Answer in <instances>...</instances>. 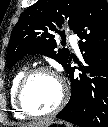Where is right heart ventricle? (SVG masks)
<instances>
[{
  "label": "right heart ventricle",
  "instance_id": "1",
  "mask_svg": "<svg viewBox=\"0 0 108 127\" xmlns=\"http://www.w3.org/2000/svg\"><path fill=\"white\" fill-rule=\"evenodd\" d=\"M27 72L26 67H21L18 69L15 74L12 77L10 88H9V98H10V104L13 109V112L17 118H25L26 116L18 109L16 105V91L17 87L19 85L20 80L24 76V74Z\"/></svg>",
  "mask_w": 108,
  "mask_h": 127
}]
</instances>
